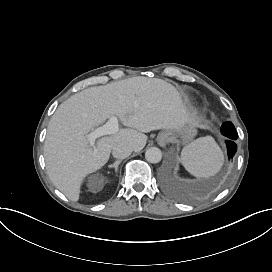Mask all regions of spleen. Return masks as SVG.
<instances>
[{"instance_id":"3e777b00","label":"spleen","mask_w":272,"mask_h":272,"mask_svg":"<svg viewBox=\"0 0 272 272\" xmlns=\"http://www.w3.org/2000/svg\"><path fill=\"white\" fill-rule=\"evenodd\" d=\"M224 161L223 151L212 136L200 137L181 152L185 169L197 178H208L220 171Z\"/></svg>"}]
</instances>
